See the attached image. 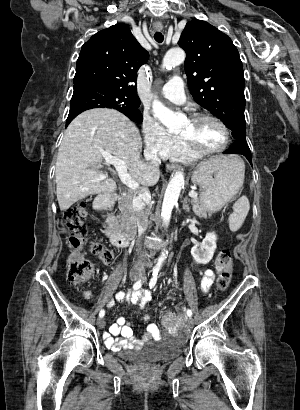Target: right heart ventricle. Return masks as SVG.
<instances>
[{"mask_svg":"<svg viewBox=\"0 0 300 410\" xmlns=\"http://www.w3.org/2000/svg\"><path fill=\"white\" fill-rule=\"evenodd\" d=\"M173 161L176 162H182V163H190L195 161L198 157L190 153L184 144L180 142L179 140L177 141L176 146L172 149L170 154L167 156Z\"/></svg>","mask_w":300,"mask_h":410,"instance_id":"right-heart-ventricle-1","label":"right heart ventricle"}]
</instances>
